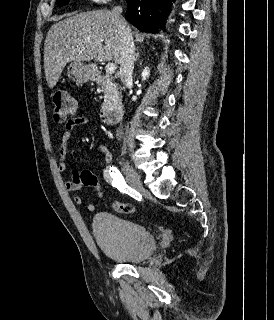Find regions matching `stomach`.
Wrapping results in <instances>:
<instances>
[{
  "mask_svg": "<svg viewBox=\"0 0 274 320\" xmlns=\"http://www.w3.org/2000/svg\"><path fill=\"white\" fill-rule=\"evenodd\" d=\"M71 76H73L75 82H88V80H92L95 72L93 66L89 64V66H86V64H82V62H73L71 64Z\"/></svg>",
  "mask_w": 274,
  "mask_h": 320,
  "instance_id": "obj_1",
  "label": "stomach"
}]
</instances>
